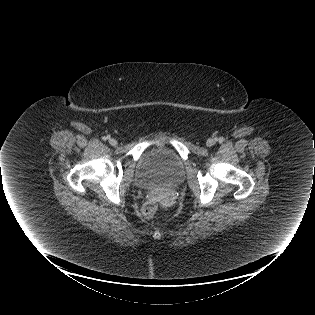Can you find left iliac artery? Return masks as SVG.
<instances>
[{
    "instance_id": "obj_1",
    "label": "left iliac artery",
    "mask_w": 315,
    "mask_h": 315,
    "mask_svg": "<svg viewBox=\"0 0 315 315\" xmlns=\"http://www.w3.org/2000/svg\"><path fill=\"white\" fill-rule=\"evenodd\" d=\"M219 141L222 142V141H223V138H220Z\"/></svg>"
}]
</instances>
